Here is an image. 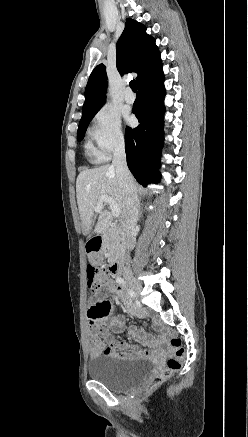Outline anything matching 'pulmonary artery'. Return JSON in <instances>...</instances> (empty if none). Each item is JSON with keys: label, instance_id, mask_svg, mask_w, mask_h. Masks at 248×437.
I'll use <instances>...</instances> for the list:
<instances>
[{"label": "pulmonary artery", "instance_id": "pulmonary-artery-1", "mask_svg": "<svg viewBox=\"0 0 248 437\" xmlns=\"http://www.w3.org/2000/svg\"><path fill=\"white\" fill-rule=\"evenodd\" d=\"M124 99L127 103H133L135 101V95L130 89L125 91Z\"/></svg>", "mask_w": 248, "mask_h": 437}]
</instances>
